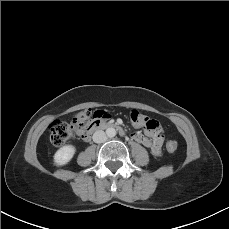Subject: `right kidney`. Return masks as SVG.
I'll return each instance as SVG.
<instances>
[{"mask_svg":"<svg viewBox=\"0 0 229 229\" xmlns=\"http://www.w3.org/2000/svg\"><path fill=\"white\" fill-rule=\"evenodd\" d=\"M75 147L73 145H65L58 149L54 154V162L58 166L67 164L75 154Z\"/></svg>","mask_w":229,"mask_h":229,"instance_id":"right-kidney-1","label":"right kidney"}]
</instances>
